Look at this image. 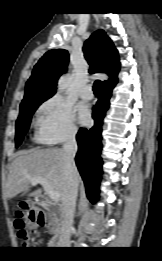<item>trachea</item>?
I'll return each mask as SVG.
<instances>
[{
  "label": "trachea",
  "mask_w": 162,
  "mask_h": 261,
  "mask_svg": "<svg viewBox=\"0 0 162 261\" xmlns=\"http://www.w3.org/2000/svg\"><path fill=\"white\" fill-rule=\"evenodd\" d=\"M100 89H101V81L100 80H96L94 82V85H93L94 94L99 95L100 94Z\"/></svg>",
  "instance_id": "3493384b"
}]
</instances>
